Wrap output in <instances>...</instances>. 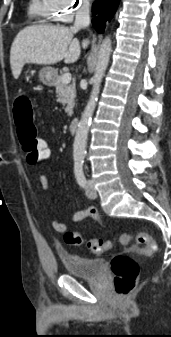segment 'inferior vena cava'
Segmentation results:
<instances>
[{"instance_id":"obj_1","label":"inferior vena cava","mask_w":171,"mask_h":337,"mask_svg":"<svg viewBox=\"0 0 171 337\" xmlns=\"http://www.w3.org/2000/svg\"><path fill=\"white\" fill-rule=\"evenodd\" d=\"M89 24H90L89 3L84 2L76 12L73 28L74 29L85 28L88 27Z\"/></svg>"}]
</instances>
